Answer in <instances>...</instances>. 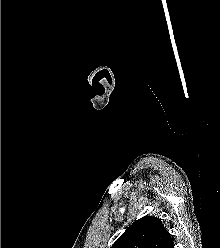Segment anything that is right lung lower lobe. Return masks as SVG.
I'll return each mask as SVG.
<instances>
[{
  "label": "right lung lower lobe",
  "instance_id": "98d812e1",
  "mask_svg": "<svg viewBox=\"0 0 220 248\" xmlns=\"http://www.w3.org/2000/svg\"><path fill=\"white\" fill-rule=\"evenodd\" d=\"M169 248H174V247H173V243L169 246Z\"/></svg>",
  "mask_w": 220,
  "mask_h": 248
}]
</instances>
